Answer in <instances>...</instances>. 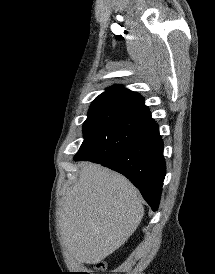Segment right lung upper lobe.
<instances>
[{
  "mask_svg": "<svg viewBox=\"0 0 215 274\" xmlns=\"http://www.w3.org/2000/svg\"><path fill=\"white\" fill-rule=\"evenodd\" d=\"M93 102H112L149 112L148 107L144 104V98L141 95L120 85L107 88L106 91L99 95Z\"/></svg>",
  "mask_w": 215,
  "mask_h": 274,
  "instance_id": "cb5924a9",
  "label": "right lung upper lobe"
}]
</instances>
